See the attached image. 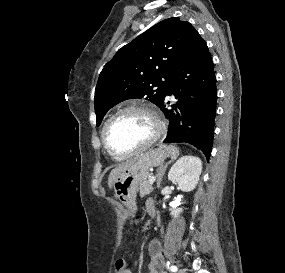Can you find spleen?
Wrapping results in <instances>:
<instances>
[{
    "label": "spleen",
    "instance_id": "obj_1",
    "mask_svg": "<svg viewBox=\"0 0 285 273\" xmlns=\"http://www.w3.org/2000/svg\"><path fill=\"white\" fill-rule=\"evenodd\" d=\"M168 153L171 155L172 159H176L179 155V150L175 146H166L165 147Z\"/></svg>",
    "mask_w": 285,
    "mask_h": 273
}]
</instances>
